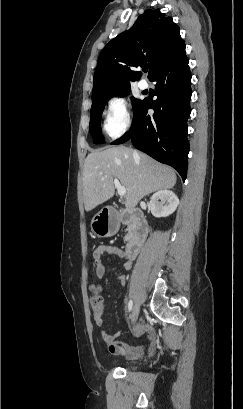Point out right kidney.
I'll list each match as a JSON object with an SVG mask.
<instances>
[{"mask_svg":"<svg viewBox=\"0 0 243 409\" xmlns=\"http://www.w3.org/2000/svg\"><path fill=\"white\" fill-rule=\"evenodd\" d=\"M149 204L155 217H167L176 210L179 199L174 192L164 189L153 194Z\"/></svg>","mask_w":243,"mask_h":409,"instance_id":"right-kidney-1","label":"right kidney"}]
</instances>
